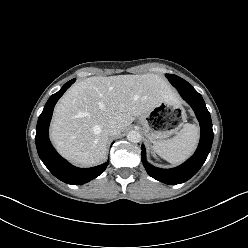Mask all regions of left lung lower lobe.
<instances>
[{
    "label": "left lung lower lobe",
    "mask_w": 248,
    "mask_h": 248,
    "mask_svg": "<svg viewBox=\"0 0 248 248\" xmlns=\"http://www.w3.org/2000/svg\"><path fill=\"white\" fill-rule=\"evenodd\" d=\"M180 95L194 110L200 123L201 136L194 155L182 165L173 169H160L146 162L145 147L142 145L141 157L147 173L154 179L166 184L183 183L194 176L205 162L213 142L212 121L202 96L195 90H178Z\"/></svg>",
    "instance_id": "left-lung-lower-lobe-1"
}]
</instances>
